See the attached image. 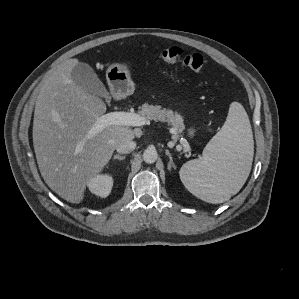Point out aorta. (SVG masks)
I'll use <instances>...</instances> for the list:
<instances>
[{
	"label": "aorta",
	"instance_id": "1",
	"mask_svg": "<svg viewBox=\"0 0 299 299\" xmlns=\"http://www.w3.org/2000/svg\"><path fill=\"white\" fill-rule=\"evenodd\" d=\"M157 158H158V153L155 148H147L143 152V160L148 164H152L156 162Z\"/></svg>",
	"mask_w": 299,
	"mask_h": 299
}]
</instances>
